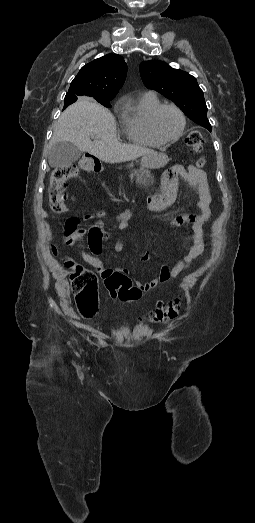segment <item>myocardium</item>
<instances>
[{"label": "myocardium", "instance_id": "myocardium-1", "mask_svg": "<svg viewBox=\"0 0 255 523\" xmlns=\"http://www.w3.org/2000/svg\"><path fill=\"white\" fill-rule=\"evenodd\" d=\"M165 108H173L179 114V116L181 118V128H180L178 134L175 137L170 138V139L162 138L158 134V132L156 130V126H155V122H156V118H157L158 114L160 113L161 110H163ZM185 128H186V116H185L184 112L177 105L172 104V103L160 104L152 111L150 118H149V129H150L151 135L155 139H157L159 142L164 143V144L177 141L183 135Z\"/></svg>", "mask_w": 255, "mask_h": 523}]
</instances>
